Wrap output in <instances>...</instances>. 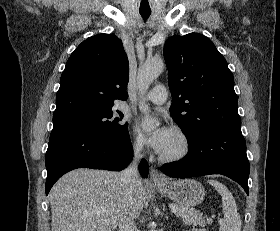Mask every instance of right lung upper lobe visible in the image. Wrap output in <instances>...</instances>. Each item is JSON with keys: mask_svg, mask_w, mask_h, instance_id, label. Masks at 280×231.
<instances>
[{"mask_svg": "<svg viewBox=\"0 0 280 231\" xmlns=\"http://www.w3.org/2000/svg\"><path fill=\"white\" fill-rule=\"evenodd\" d=\"M129 63L121 40L99 34L82 42L69 57L60 79L53 123L111 112L126 100Z\"/></svg>", "mask_w": 280, "mask_h": 231, "instance_id": "right-lung-upper-lobe-1", "label": "right lung upper lobe"}]
</instances>
